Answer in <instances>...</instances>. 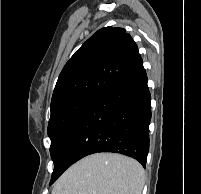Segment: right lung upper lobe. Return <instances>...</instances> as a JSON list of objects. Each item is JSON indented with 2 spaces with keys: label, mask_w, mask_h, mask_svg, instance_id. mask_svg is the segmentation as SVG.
<instances>
[{
  "label": "right lung upper lobe",
  "mask_w": 201,
  "mask_h": 194,
  "mask_svg": "<svg viewBox=\"0 0 201 194\" xmlns=\"http://www.w3.org/2000/svg\"><path fill=\"white\" fill-rule=\"evenodd\" d=\"M142 63L138 47L125 29L104 27L65 64L53 92L51 108L72 98L100 95Z\"/></svg>",
  "instance_id": "obj_1"
}]
</instances>
